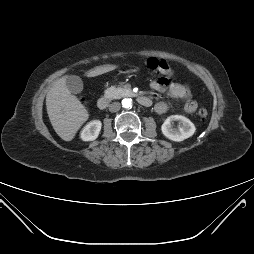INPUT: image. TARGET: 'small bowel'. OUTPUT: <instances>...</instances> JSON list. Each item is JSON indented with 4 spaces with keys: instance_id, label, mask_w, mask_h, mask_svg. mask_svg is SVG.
Masks as SVG:
<instances>
[{
    "instance_id": "1",
    "label": "small bowel",
    "mask_w": 254,
    "mask_h": 254,
    "mask_svg": "<svg viewBox=\"0 0 254 254\" xmlns=\"http://www.w3.org/2000/svg\"><path fill=\"white\" fill-rule=\"evenodd\" d=\"M150 87L158 92L167 93L174 99L185 100L184 111L193 113L197 109V102L191 99V91L186 84L171 81L167 77H160L150 82ZM158 114H164L168 110L165 102H158L154 107Z\"/></svg>"
}]
</instances>
